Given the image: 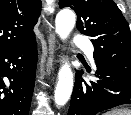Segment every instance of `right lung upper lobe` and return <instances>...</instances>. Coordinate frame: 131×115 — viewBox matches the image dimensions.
I'll use <instances>...</instances> for the list:
<instances>
[{"label": "right lung upper lobe", "instance_id": "1", "mask_svg": "<svg viewBox=\"0 0 131 115\" xmlns=\"http://www.w3.org/2000/svg\"><path fill=\"white\" fill-rule=\"evenodd\" d=\"M41 0H0V52L35 38Z\"/></svg>", "mask_w": 131, "mask_h": 115}]
</instances>
